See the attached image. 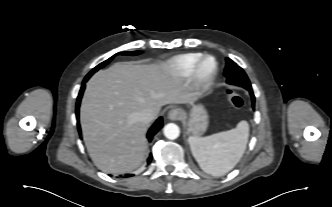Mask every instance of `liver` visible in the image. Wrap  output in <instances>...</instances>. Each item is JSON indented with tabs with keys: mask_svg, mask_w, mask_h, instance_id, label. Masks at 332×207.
Listing matches in <instances>:
<instances>
[{
	"mask_svg": "<svg viewBox=\"0 0 332 207\" xmlns=\"http://www.w3.org/2000/svg\"><path fill=\"white\" fill-rule=\"evenodd\" d=\"M166 63H115L88 81L80 108L83 139L94 164L106 173L138 167L146 152L144 109L155 117L166 104L191 100Z\"/></svg>",
	"mask_w": 332,
	"mask_h": 207,
	"instance_id": "6515ba94",
	"label": "liver"
}]
</instances>
